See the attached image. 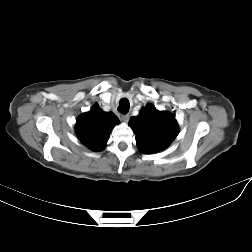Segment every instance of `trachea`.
I'll return each instance as SVG.
<instances>
[{
	"instance_id": "obj_1",
	"label": "trachea",
	"mask_w": 252,
	"mask_h": 252,
	"mask_svg": "<svg viewBox=\"0 0 252 252\" xmlns=\"http://www.w3.org/2000/svg\"><path fill=\"white\" fill-rule=\"evenodd\" d=\"M129 101L127 98H122L120 103H119V107H118V110L122 113H126L129 111Z\"/></svg>"
}]
</instances>
